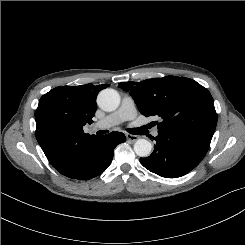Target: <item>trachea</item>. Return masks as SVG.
<instances>
[{"instance_id":"obj_1","label":"trachea","mask_w":245,"mask_h":245,"mask_svg":"<svg viewBox=\"0 0 245 245\" xmlns=\"http://www.w3.org/2000/svg\"><path fill=\"white\" fill-rule=\"evenodd\" d=\"M131 134H135V131H136V129H129L128 130ZM109 131L108 130H99V131H97V134L98 135H102V134H106V133H108Z\"/></svg>"}]
</instances>
